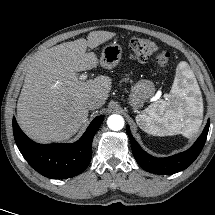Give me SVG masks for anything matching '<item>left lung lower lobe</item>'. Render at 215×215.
I'll return each mask as SVG.
<instances>
[{
  "mask_svg": "<svg viewBox=\"0 0 215 215\" xmlns=\"http://www.w3.org/2000/svg\"><path fill=\"white\" fill-rule=\"evenodd\" d=\"M209 125L210 120H208L202 134L188 150L166 158H156L142 150L133 138L129 126H127V134L133 155L143 169L155 174L170 175L186 169L198 157L207 139Z\"/></svg>",
  "mask_w": 215,
  "mask_h": 215,
  "instance_id": "left-lung-lower-lobe-1",
  "label": "left lung lower lobe"
}]
</instances>
